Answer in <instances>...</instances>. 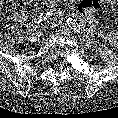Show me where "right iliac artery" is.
<instances>
[{
    "label": "right iliac artery",
    "instance_id": "right-iliac-artery-1",
    "mask_svg": "<svg viewBox=\"0 0 118 118\" xmlns=\"http://www.w3.org/2000/svg\"><path fill=\"white\" fill-rule=\"evenodd\" d=\"M50 16H52V12L51 11H49V12H46V14L45 15H43V14H40V16H38V24L40 23V22H42V21H44V20H47V18H49ZM36 29V28H35ZM31 34V33H30ZM34 34V33H33ZM33 34H32V36H33ZM34 40V39H33ZM32 41V40H31Z\"/></svg>",
    "mask_w": 118,
    "mask_h": 118
}]
</instances>
